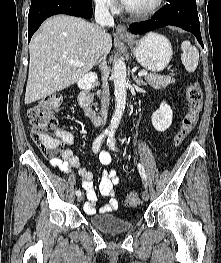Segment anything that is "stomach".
<instances>
[{"instance_id":"1","label":"stomach","mask_w":221,"mask_h":263,"mask_svg":"<svg viewBox=\"0 0 221 263\" xmlns=\"http://www.w3.org/2000/svg\"><path fill=\"white\" fill-rule=\"evenodd\" d=\"M138 63L152 72L162 71L172 58L170 41L158 33H149L140 40L125 39Z\"/></svg>"}]
</instances>
